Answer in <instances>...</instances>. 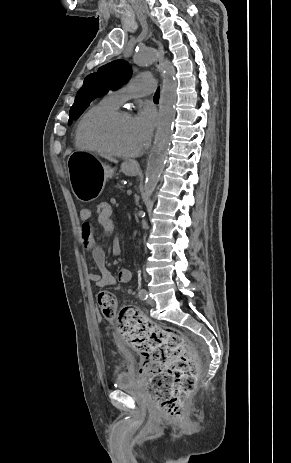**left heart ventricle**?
Here are the masks:
<instances>
[{
	"label": "left heart ventricle",
	"mask_w": 291,
	"mask_h": 463,
	"mask_svg": "<svg viewBox=\"0 0 291 463\" xmlns=\"http://www.w3.org/2000/svg\"><path fill=\"white\" fill-rule=\"evenodd\" d=\"M105 135L113 146L123 152H134L142 146L130 116L114 121L105 130Z\"/></svg>",
	"instance_id": "left-heart-ventricle-1"
}]
</instances>
